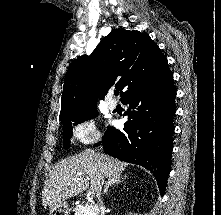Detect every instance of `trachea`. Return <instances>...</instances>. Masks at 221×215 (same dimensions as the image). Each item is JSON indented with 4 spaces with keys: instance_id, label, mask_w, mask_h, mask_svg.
<instances>
[{
    "instance_id": "trachea-1",
    "label": "trachea",
    "mask_w": 221,
    "mask_h": 215,
    "mask_svg": "<svg viewBox=\"0 0 221 215\" xmlns=\"http://www.w3.org/2000/svg\"><path fill=\"white\" fill-rule=\"evenodd\" d=\"M118 94H119V91H118V90H115V91H114V95H115V96H118Z\"/></svg>"
}]
</instances>
